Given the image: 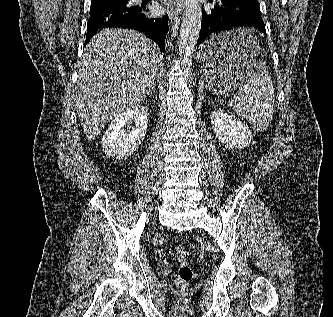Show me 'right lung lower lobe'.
I'll return each instance as SVG.
<instances>
[{
  "mask_svg": "<svg viewBox=\"0 0 333 317\" xmlns=\"http://www.w3.org/2000/svg\"><path fill=\"white\" fill-rule=\"evenodd\" d=\"M140 7L128 4L108 5L91 8L87 23L85 44L100 29L119 27L134 29L147 34L165 52V38L168 31V15L162 18H148ZM148 11V10H147Z\"/></svg>",
  "mask_w": 333,
  "mask_h": 317,
  "instance_id": "right-lung-lower-lobe-1",
  "label": "right lung lower lobe"
}]
</instances>
